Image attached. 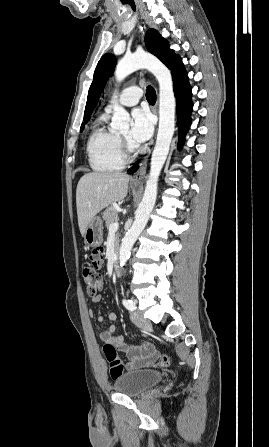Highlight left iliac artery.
I'll list each match as a JSON object with an SVG mask.
<instances>
[{"label": "left iliac artery", "instance_id": "obj_1", "mask_svg": "<svg viewBox=\"0 0 269 447\" xmlns=\"http://www.w3.org/2000/svg\"><path fill=\"white\" fill-rule=\"evenodd\" d=\"M122 303L128 310L134 311L136 309V305L132 300L123 299Z\"/></svg>", "mask_w": 269, "mask_h": 447}]
</instances>
